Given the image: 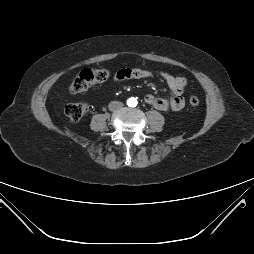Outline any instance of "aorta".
I'll list each match as a JSON object with an SVG mask.
<instances>
[{
	"instance_id": "762f6f07",
	"label": "aorta",
	"mask_w": 254,
	"mask_h": 254,
	"mask_svg": "<svg viewBox=\"0 0 254 254\" xmlns=\"http://www.w3.org/2000/svg\"><path fill=\"white\" fill-rule=\"evenodd\" d=\"M137 103L136 99L135 98H130L128 101H127V104L129 106H135Z\"/></svg>"
}]
</instances>
